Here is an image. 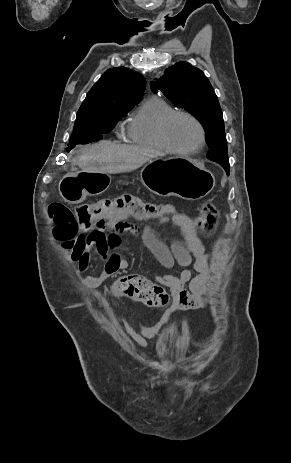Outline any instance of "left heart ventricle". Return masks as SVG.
<instances>
[{"instance_id":"b2bd125f","label":"left heart ventricle","mask_w":291,"mask_h":463,"mask_svg":"<svg viewBox=\"0 0 291 463\" xmlns=\"http://www.w3.org/2000/svg\"><path fill=\"white\" fill-rule=\"evenodd\" d=\"M168 137L174 146L189 149L199 142L200 132L196 124L190 119L177 117L168 128Z\"/></svg>"}]
</instances>
